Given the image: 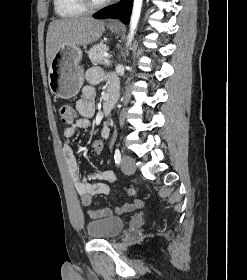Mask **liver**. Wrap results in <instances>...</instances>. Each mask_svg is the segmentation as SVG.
<instances>
[{
    "mask_svg": "<svg viewBox=\"0 0 247 280\" xmlns=\"http://www.w3.org/2000/svg\"><path fill=\"white\" fill-rule=\"evenodd\" d=\"M104 22L89 17L53 20L46 36V62L50 68L56 52L65 45L85 46L96 42L104 32Z\"/></svg>",
    "mask_w": 247,
    "mask_h": 280,
    "instance_id": "1",
    "label": "liver"
}]
</instances>
